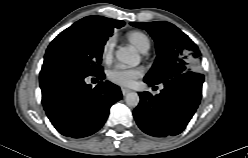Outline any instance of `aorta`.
Masks as SVG:
<instances>
[{"label": "aorta", "instance_id": "aorta-1", "mask_svg": "<svg viewBox=\"0 0 248 158\" xmlns=\"http://www.w3.org/2000/svg\"><path fill=\"white\" fill-rule=\"evenodd\" d=\"M116 58L120 63L131 66L138 65L140 61L139 55L126 47H121L116 51ZM125 101L128 106L136 107L140 98L136 92H130L126 95Z\"/></svg>", "mask_w": 248, "mask_h": 158}]
</instances>
